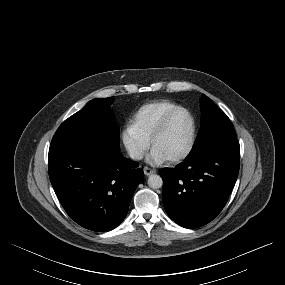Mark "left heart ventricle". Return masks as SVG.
<instances>
[{"mask_svg":"<svg viewBox=\"0 0 285 285\" xmlns=\"http://www.w3.org/2000/svg\"><path fill=\"white\" fill-rule=\"evenodd\" d=\"M191 134V121L185 112L176 113L163 134L155 141L154 148L165 158L177 157L187 148Z\"/></svg>","mask_w":285,"mask_h":285,"instance_id":"obj_1","label":"left heart ventricle"}]
</instances>
